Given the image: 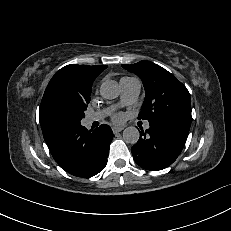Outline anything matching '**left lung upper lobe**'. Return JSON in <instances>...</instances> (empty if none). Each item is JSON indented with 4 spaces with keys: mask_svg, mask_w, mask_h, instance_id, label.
<instances>
[{
    "mask_svg": "<svg viewBox=\"0 0 231 231\" xmlns=\"http://www.w3.org/2000/svg\"><path fill=\"white\" fill-rule=\"evenodd\" d=\"M122 67L138 75L146 91L139 119L150 121L160 117L191 123L190 94L174 75L149 61Z\"/></svg>",
    "mask_w": 231,
    "mask_h": 231,
    "instance_id": "1",
    "label": "left lung upper lobe"
}]
</instances>
